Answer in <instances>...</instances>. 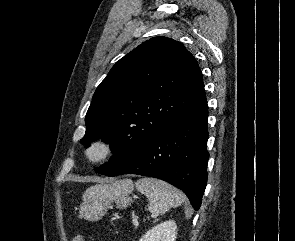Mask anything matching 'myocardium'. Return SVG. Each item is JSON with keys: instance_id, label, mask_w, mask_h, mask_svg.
Segmentation results:
<instances>
[{"instance_id": "obj_1", "label": "myocardium", "mask_w": 295, "mask_h": 241, "mask_svg": "<svg viewBox=\"0 0 295 241\" xmlns=\"http://www.w3.org/2000/svg\"><path fill=\"white\" fill-rule=\"evenodd\" d=\"M117 151L115 143L106 137L92 140L84 149V157L90 164H100L111 159Z\"/></svg>"}]
</instances>
